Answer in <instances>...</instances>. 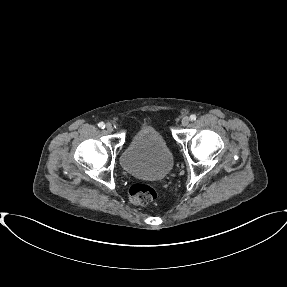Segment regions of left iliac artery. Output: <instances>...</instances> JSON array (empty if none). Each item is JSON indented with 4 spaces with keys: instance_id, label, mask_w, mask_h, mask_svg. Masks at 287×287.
<instances>
[{
    "instance_id": "1",
    "label": "left iliac artery",
    "mask_w": 287,
    "mask_h": 287,
    "mask_svg": "<svg viewBox=\"0 0 287 287\" xmlns=\"http://www.w3.org/2000/svg\"><path fill=\"white\" fill-rule=\"evenodd\" d=\"M196 118H197V116H196L195 114H192V115L190 116V120H191V121L196 120Z\"/></svg>"
}]
</instances>
